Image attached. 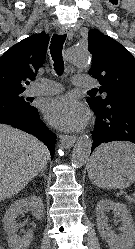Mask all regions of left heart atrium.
<instances>
[{"instance_id": "1", "label": "left heart atrium", "mask_w": 135, "mask_h": 249, "mask_svg": "<svg viewBox=\"0 0 135 249\" xmlns=\"http://www.w3.org/2000/svg\"><path fill=\"white\" fill-rule=\"evenodd\" d=\"M43 111L46 119L61 129H76L86 121L84 106L72 95H62L47 100Z\"/></svg>"}]
</instances>
